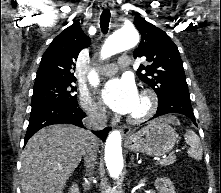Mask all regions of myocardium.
I'll list each match as a JSON object with an SVG mask.
<instances>
[{
	"label": "myocardium",
	"instance_id": "1",
	"mask_svg": "<svg viewBox=\"0 0 221 193\" xmlns=\"http://www.w3.org/2000/svg\"><path fill=\"white\" fill-rule=\"evenodd\" d=\"M140 98L145 104L143 111L137 115H130L128 121L133 124H140L150 119L157 109V97L151 90L144 89Z\"/></svg>",
	"mask_w": 221,
	"mask_h": 193
}]
</instances>
